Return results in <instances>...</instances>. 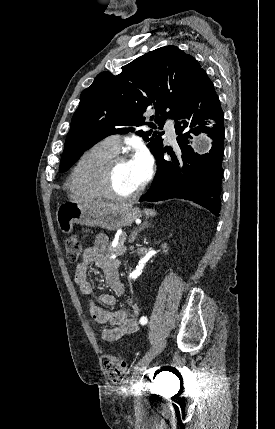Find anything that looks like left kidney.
Segmentation results:
<instances>
[{
    "label": "left kidney",
    "mask_w": 275,
    "mask_h": 429,
    "mask_svg": "<svg viewBox=\"0 0 275 429\" xmlns=\"http://www.w3.org/2000/svg\"><path fill=\"white\" fill-rule=\"evenodd\" d=\"M163 252L166 254L168 252L167 244H162Z\"/></svg>",
    "instance_id": "left-kidney-1"
}]
</instances>
